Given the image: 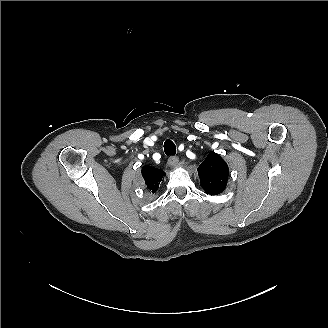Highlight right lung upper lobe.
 <instances>
[{"instance_id":"1","label":"right lung upper lobe","mask_w":328,"mask_h":328,"mask_svg":"<svg viewBox=\"0 0 328 328\" xmlns=\"http://www.w3.org/2000/svg\"><path fill=\"white\" fill-rule=\"evenodd\" d=\"M142 176L147 189H149L152 193H155L159 188L162 178L165 176V172L157 168L144 166L142 168Z\"/></svg>"}]
</instances>
